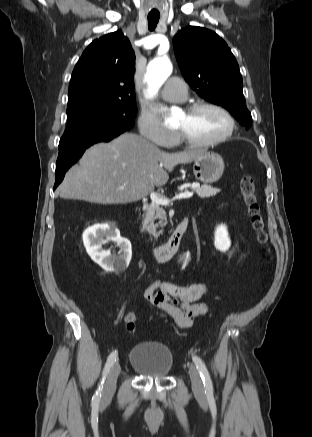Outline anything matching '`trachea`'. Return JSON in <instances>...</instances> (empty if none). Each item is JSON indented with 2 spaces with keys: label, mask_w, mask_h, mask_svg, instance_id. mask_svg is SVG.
I'll use <instances>...</instances> for the list:
<instances>
[{
  "label": "trachea",
  "mask_w": 312,
  "mask_h": 437,
  "mask_svg": "<svg viewBox=\"0 0 312 437\" xmlns=\"http://www.w3.org/2000/svg\"><path fill=\"white\" fill-rule=\"evenodd\" d=\"M147 18H148V29L150 31L155 30L160 18V14H149Z\"/></svg>",
  "instance_id": "1"
}]
</instances>
